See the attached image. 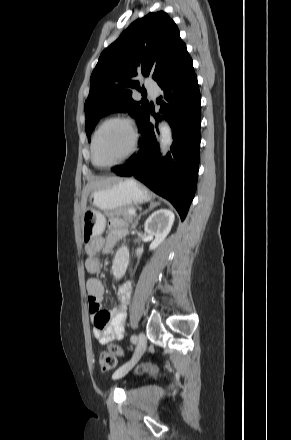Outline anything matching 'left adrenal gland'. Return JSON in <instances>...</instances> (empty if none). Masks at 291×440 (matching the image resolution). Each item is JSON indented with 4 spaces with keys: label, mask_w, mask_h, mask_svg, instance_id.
<instances>
[{
    "label": "left adrenal gland",
    "mask_w": 291,
    "mask_h": 440,
    "mask_svg": "<svg viewBox=\"0 0 291 440\" xmlns=\"http://www.w3.org/2000/svg\"><path fill=\"white\" fill-rule=\"evenodd\" d=\"M157 205H159V203H156V202L151 203L149 209L143 211L142 213H140V214L138 215V217L136 218V220H135V222L133 223L132 227L135 228V227L137 226L138 221L140 220L141 216H142L143 214L147 213L149 210H151V209H153L154 207H156Z\"/></svg>",
    "instance_id": "1"
}]
</instances>
